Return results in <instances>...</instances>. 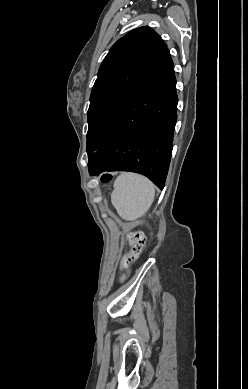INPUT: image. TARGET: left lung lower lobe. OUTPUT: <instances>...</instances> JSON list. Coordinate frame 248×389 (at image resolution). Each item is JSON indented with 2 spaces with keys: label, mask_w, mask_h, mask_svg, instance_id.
<instances>
[{
  "label": "left lung lower lobe",
  "mask_w": 248,
  "mask_h": 389,
  "mask_svg": "<svg viewBox=\"0 0 248 389\" xmlns=\"http://www.w3.org/2000/svg\"><path fill=\"white\" fill-rule=\"evenodd\" d=\"M177 103L174 65L167 49L95 122L97 133L108 140L89 156L90 175L131 171L163 189Z\"/></svg>",
  "instance_id": "1"
}]
</instances>
